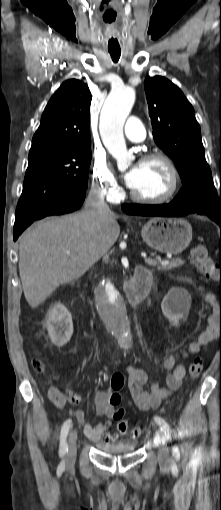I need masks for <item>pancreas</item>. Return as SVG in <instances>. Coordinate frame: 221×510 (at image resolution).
Returning a JSON list of instances; mask_svg holds the SVG:
<instances>
[{
    "label": "pancreas",
    "instance_id": "1",
    "mask_svg": "<svg viewBox=\"0 0 221 510\" xmlns=\"http://www.w3.org/2000/svg\"><path fill=\"white\" fill-rule=\"evenodd\" d=\"M184 263H185L184 260H182L180 258H175V259H171L168 262V264L159 265V266H157V268L159 270H162V271H169V270H172V269L177 268L179 266H182Z\"/></svg>",
    "mask_w": 221,
    "mask_h": 510
}]
</instances>
